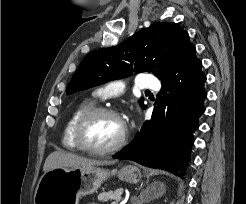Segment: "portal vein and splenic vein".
I'll return each mask as SVG.
<instances>
[{
    "mask_svg": "<svg viewBox=\"0 0 246 204\" xmlns=\"http://www.w3.org/2000/svg\"><path fill=\"white\" fill-rule=\"evenodd\" d=\"M119 200V199H118ZM118 200L112 202V204H118Z\"/></svg>",
    "mask_w": 246,
    "mask_h": 204,
    "instance_id": "obj_1",
    "label": "portal vein and splenic vein"
}]
</instances>
